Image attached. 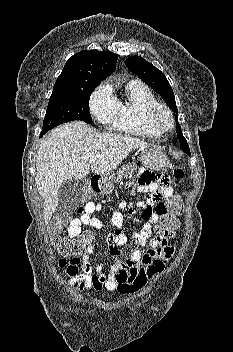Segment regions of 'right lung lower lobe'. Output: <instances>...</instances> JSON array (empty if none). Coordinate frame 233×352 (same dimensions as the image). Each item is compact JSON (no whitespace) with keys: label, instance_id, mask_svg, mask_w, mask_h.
<instances>
[{"label":"right lung lower lobe","instance_id":"right-lung-lower-lobe-1","mask_svg":"<svg viewBox=\"0 0 233 352\" xmlns=\"http://www.w3.org/2000/svg\"><path fill=\"white\" fill-rule=\"evenodd\" d=\"M47 132H43L40 134L39 138H42Z\"/></svg>","mask_w":233,"mask_h":352}]
</instances>
